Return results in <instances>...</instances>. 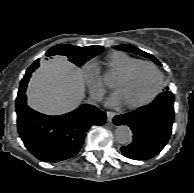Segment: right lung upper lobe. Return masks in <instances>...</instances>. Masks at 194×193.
<instances>
[{"label":"right lung upper lobe","mask_w":194,"mask_h":193,"mask_svg":"<svg viewBox=\"0 0 194 193\" xmlns=\"http://www.w3.org/2000/svg\"><path fill=\"white\" fill-rule=\"evenodd\" d=\"M66 46H72V45H66ZM72 47H75V48H78V49L84 50V51H89V50H100L102 46H87V47H83V48H80L77 46H72ZM46 55L49 57V56L58 55V54L53 52V47H52L49 51H47ZM38 67H39V59H37L26 71V74L21 81V88H24L25 86H27V83L31 77V74Z\"/></svg>","instance_id":"1"}]
</instances>
